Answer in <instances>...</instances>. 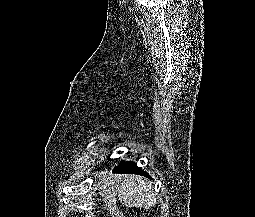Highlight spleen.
<instances>
[{
  "mask_svg": "<svg viewBox=\"0 0 255 217\" xmlns=\"http://www.w3.org/2000/svg\"><path fill=\"white\" fill-rule=\"evenodd\" d=\"M118 194L119 200L127 207L149 209L156 204L152 186L137 176L122 178Z\"/></svg>",
  "mask_w": 255,
  "mask_h": 217,
  "instance_id": "obj_1",
  "label": "spleen"
}]
</instances>
